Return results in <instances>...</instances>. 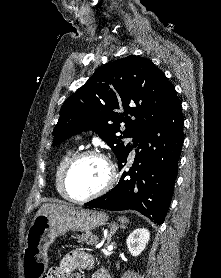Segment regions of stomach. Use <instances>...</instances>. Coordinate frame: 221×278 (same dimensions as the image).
I'll list each match as a JSON object with an SVG mask.
<instances>
[{"label":"stomach","mask_w":221,"mask_h":278,"mask_svg":"<svg viewBox=\"0 0 221 278\" xmlns=\"http://www.w3.org/2000/svg\"><path fill=\"white\" fill-rule=\"evenodd\" d=\"M108 216L103 212L72 209L65 213L36 215L26 235V246L21 257L26 278H42L47 269L49 246L68 231L89 232L104 225Z\"/></svg>","instance_id":"1"}]
</instances>
